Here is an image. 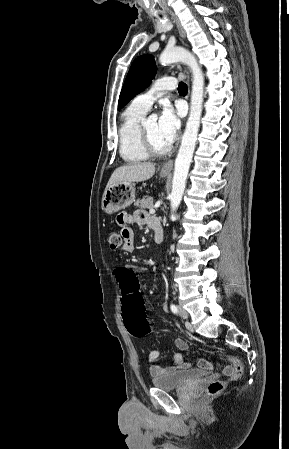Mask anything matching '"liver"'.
Returning <instances> with one entry per match:
<instances>
[{"label":"liver","mask_w":289,"mask_h":449,"mask_svg":"<svg viewBox=\"0 0 289 449\" xmlns=\"http://www.w3.org/2000/svg\"><path fill=\"white\" fill-rule=\"evenodd\" d=\"M155 173L152 163H133L118 167L111 175L107 187L121 181L142 182L150 179Z\"/></svg>","instance_id":"6515ba94"}]
</instances>
